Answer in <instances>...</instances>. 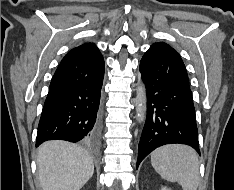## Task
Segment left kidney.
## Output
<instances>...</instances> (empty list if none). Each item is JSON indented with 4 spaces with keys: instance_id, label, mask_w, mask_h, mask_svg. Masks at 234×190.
I'll return each mask as SVG.
<instances>
[{
    "instance_id": "obj_1",
    "label": "left kidney",
    "mask_w": 234,
    "mask_h": 190,
    "mask_svg": "<svg viewBox=\"0 0 234 190\" xmlns=\"http://www.w3.org/2000/svg\"><path fill=\"white\" fill-rule=\"evenodd\" d=\"M162 190H171V189H168V188L164 187V188H162Z\"/></svg>"
}]
</instances>
